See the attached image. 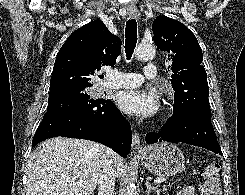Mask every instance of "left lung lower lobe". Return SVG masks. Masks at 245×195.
I'll return each mask as SVG.
<instances>
[{
    "label": "left lung lower lobe",
    "instance_id": "left-lung-lower-lobe-1",
    "mask_svg": "<svg viewBox=\"0 0 245 195\" xmlns=\"http://www.w3.org/2000/svg\"><path fill=\"white\" fill-rule=\"evenodd\" d=\"M146 143L183 142L200 146L222 155L211 123V114L198 110L174 113L158 133L146 135Z\"/></svg>",
    "mask_w": 245,
    "mask_h": 195
}]
</instances>
